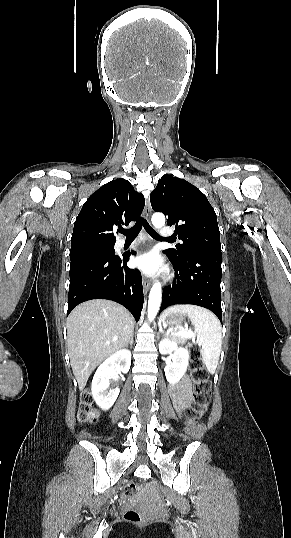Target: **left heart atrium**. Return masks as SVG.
Returning <instances> with one entry per match:
<instances>
[{"label": "left heart atrium", "instance_id": "left-heart-atrium-1", "mask_svg": "<svg viewBox=\"0 0 291 538\" xmlns=\"http://www.w3.org/2000/svg\"><path fill=\"white\" fill-rule=\"evenodd\" d=\"M136 265L146 274L152 275L162 270L161 261L155 252H148L136 259Z\"/></svg>", "mask_w": 291, "mask_h": 538}]
</instances>
